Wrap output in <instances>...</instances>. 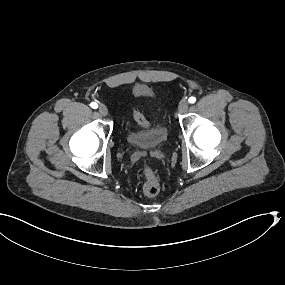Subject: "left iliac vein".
I'll list each match as a JSON object with an SVG mask.
<instances>
[{"label": "left iliac vein", "mask_w": 285, "mask_h": 285, "mask_svg": "<svg viewBox=\"0 0 285 285\" xmlns=\"http://www.w3.org/2000/svg\"><path fill=\"white\" fill-rule=\"evenodd\" d=\"M188 107H189V104H188L187 100H182L179 103L178 110H179L180 113H185V112H187Z\"/></svg>", "instance_id": "left-iliac-vein-1"}]
</instances>
